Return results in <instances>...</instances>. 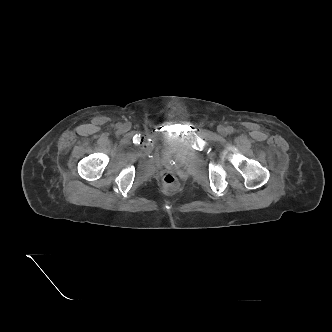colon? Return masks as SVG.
Here are the masks:
<instances>
[{"mask_svg": "<svg viewBox=\"0 0 332 332\" xmlns=\"http://www.w3.org/2000/svg\"><path fill=\"white\" fill-rule=\"evenodd\" d=\"M163 188L168 192H174L179 187L178 179L173 174H166L162 179Z\"/></svg>", "mask_w": 332, "mask_h": 332, "instance_id": "1", "label": "colon"}]
</instances>
